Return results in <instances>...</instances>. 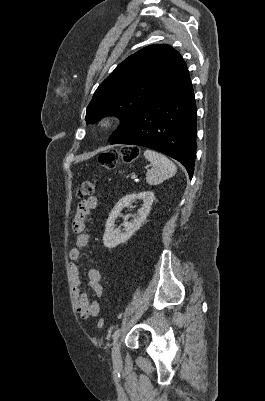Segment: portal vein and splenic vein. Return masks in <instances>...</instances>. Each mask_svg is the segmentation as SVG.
Here are the masks:
<instances>
[{
    "mask_svg": "<svg viewBox=\"0 0 265 401\" xmlns=\"http://www.w3.org/2000/svg\"><path fill=\"white\" fill-rule=\"evenodd\" d=\"M137 178V175L136 174H133V175H130L129 177H128V180L129 181H133L134 179H136Z\"/></svg>",
    "mask_w": 265,
    "mask_h": 401,
    "instance_id": "portal-vein-and-splenic-vein-1",
    "label": "portal vein and splenic vein"
}]
</instances>
